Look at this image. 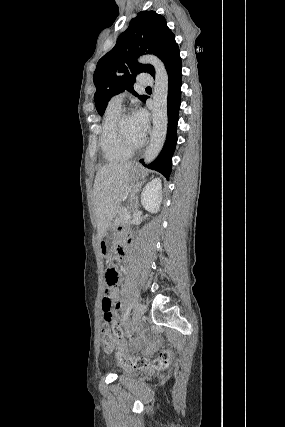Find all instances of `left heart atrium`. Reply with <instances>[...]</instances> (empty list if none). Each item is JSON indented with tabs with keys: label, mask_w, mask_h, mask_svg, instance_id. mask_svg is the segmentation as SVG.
Here are the masks:
<instances>
[{
	"label": "left heart atrium",
	"mask_w": 285,
	"mask_h": 427,
	"mask_svg": "<svg viewBox=\"0 0 285 427\" xmlns=\"http://www.w3.org/2000/svg\"><path fill=\"white\" fill-rule=\"evenodd\" d=\"M132 117L139 136L142 140H144L148 132L149 126V120L146 111H144L143 109H139L134 113Z\"/></svg>",
	"instance_id": "1"
}]
</instances>
